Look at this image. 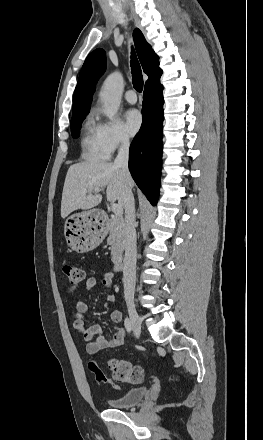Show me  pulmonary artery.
<instances>
[{
    "label": "pulmonary artery",
    "mask_w": 263,
    "mask_h": 440,
    "mask_svg": "<svg viewBox=\"0 0 263 440\" xmlns=\"http://www.w3.org/2000/svg\"><path fill=\"white\" fill-rule=\"evenodd\" d=\"M124 98L127 102L134 104L137 101V95L133 90H128L125 94H124Z\"/></svg>",
    "instance_id": "e3ab8cb5"
}]
</instances>
